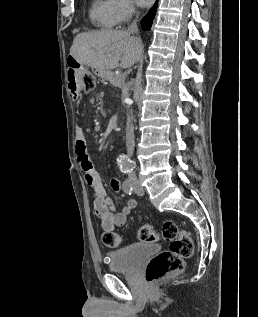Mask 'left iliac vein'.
Returning a JSON list of instances; mask_svg holds the SVG:
<instances>
[{"label":"left iliac vein","instance_id":"4c4485c4","mask_svg":"<svg viewBox=\"0 0 258 317\" xmlns=\"http://www.w3.org/2000/svg\"><path fill=\"white\" fill-rule=\"evenodd\" d=\"M129 183H133V187L135 189V194L136 195H142L144 194V189L142 188V185L140 184V179L138 177L135 178H129Z\"/></svg>","mask_w":258,"mask_h":317}]
</instances>
